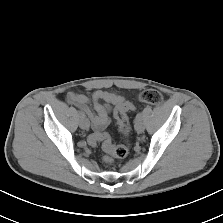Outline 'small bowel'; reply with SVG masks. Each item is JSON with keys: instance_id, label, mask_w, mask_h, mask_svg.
<instances>
[{"instance_id": "1", "label": "small bowel", "mask_w": 223, "mask_h": 223, "mask_svg": "<svg viewBox=\"0 0 223 223\" xmlns=\"http://www.w3.org/2000/svg\"><path fill=\"white\" fill-rule=\"evenodd\" d=\"M66 98L70 104L80 108L88 115L92 128L95 131L105 129L110 123L109 113L111 106L101 104L100 101L114 105H120L124 102L120 94L102 90L95 91L91 96L83 93L69 92Z\"/></svg>"}]
</instances>
